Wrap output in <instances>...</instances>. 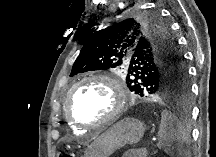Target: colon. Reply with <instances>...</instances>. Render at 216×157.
<instances>
[{
	"mask_svg": "<svg viewBox=\"0 0 216 157\" xmlns=\"http://www.w3.org/2000/svg\"><path fill=\"white\" fill-rule=\"evenodd\" d=\"M61 157H72V155L65 153V154H62Z\"/></svg>",
	"mask_w": 216,
	"mask_h": 157,
	"instance_id": "1",
	"label": "colon"
}]
</instances>
